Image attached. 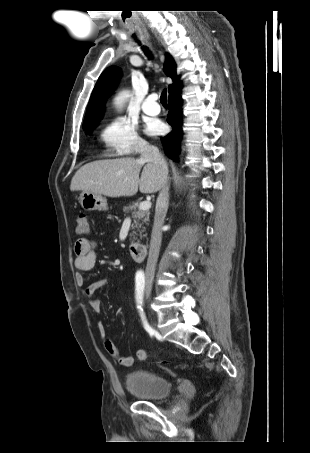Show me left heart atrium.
Returning a JSON list of instances; mask_svg holds the SVG:
<instances>
[{"label": "left heart atrium", "mask_w": 310, "mask_h": 453, "mask_svg": "<svg viewBox=\"0 0 310 453\" xmlns=\"http://www.w3.org/2000/svg\"><path fill=\"white\" fill-rule=\"evenodd\" d=\"M162 130V125L160 122H153L149 127L148 131L150 133H159Z\"/></svg>", "instance_id": "39dd6f15"}]
</instances>
